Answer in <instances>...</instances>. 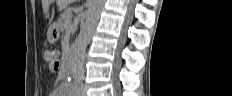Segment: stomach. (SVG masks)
<instances>
[{"label":"stomach","instance_id":"1","mask_svg":"<svg viewBox=\"0 0 232 96\" xmlns=\"http://www.w3.org/2000/svg\"><path fill=\"white\" fill-rule=\"evenodd\" d=\"M60 36V26L58 23H54L50 26L49 31H48V41L50 43H55Z\"/></svg>","mask_w":232,"mask_h":96}]
</instances>
